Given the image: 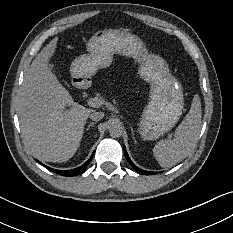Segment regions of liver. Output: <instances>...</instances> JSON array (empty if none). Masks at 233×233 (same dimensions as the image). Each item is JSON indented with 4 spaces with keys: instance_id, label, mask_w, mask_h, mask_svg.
I'll return each mask as SVG.
<instances>
[{
    "instance_id": "obj_1",
    "label": "liver",
    "mask_w": 233,
    "mask_h": 233,
    "mask_svg": "<svg viewBox=\"0 0 233 233\" xmlns=\"http://www.w3.org/2000/svg\"><path fill=\"white\" fill-rule=\"evenodd\" d=\"M56 40L53 38L32 61L17 101L26 146L36 158L48 162H64L73 155L92 112L76 102L48 69Z\"/></svg>"
}]
</instances>
